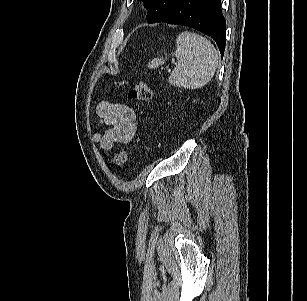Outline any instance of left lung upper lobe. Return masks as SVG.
I'll return each mask as SVG.
<instances>
[{
  "instance_id": "5c2ea615",
  "label": "left lung upper lobe",
  "mask_w": 307,
  "mask_h": 301,
  "mask_svg": "<svg viewBox=\"0 0 307 301\" xmlns=\"http://www.w3.org/2000/svg\"><path fill=\"white\" fill-rule=\"evenodd\" d=\"M141 1V0H140ZM144 6L149 9L147 14L148 23H154L167 14L179 0H142Z\"/></svg>"
}]
</instances>
